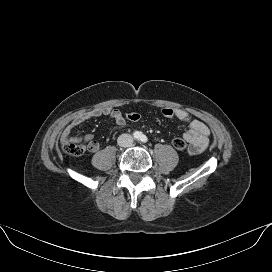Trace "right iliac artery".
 I'll use <instances>...</instances> for the list:
<instances>
[{"mask_svg":"<svg viewBox=\"0 0 272 272\" xmlns=\"http://www.w3.org/2000/svg\"><path fill=\"white\" fill-rule=\"evenodd\" d=\"M134 136H135V138H139V137H140V133H139V132H136V133L134 134Z\"/></svg>","mask_w":272,"mask_h":272,"instance_id":"1","label":"right iliac artery"}]
</instances>
